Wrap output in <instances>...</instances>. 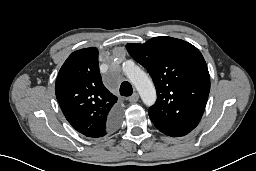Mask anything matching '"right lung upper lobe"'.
I'll use <instances>...</instances> for the list:
<instances>
[{
  "label": "right lung upper lobe",
  "instance_id": "cb5924a9",
  "mask_svg": "<svg viewBox=\"0 0 256 171\" xmlns=\"http://www.w3.org/2000/svg\"><path fill=\"white\" fill-rule=\"evenodd\" d=\"M55 93L71 126L87 137H103L110 130L107 121L117 109V97L103 85L94 47L73 52L62 65Z\"/></svg>",
  "mask_w": 256,
  "mask_h": 171
}]
</instances>
